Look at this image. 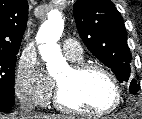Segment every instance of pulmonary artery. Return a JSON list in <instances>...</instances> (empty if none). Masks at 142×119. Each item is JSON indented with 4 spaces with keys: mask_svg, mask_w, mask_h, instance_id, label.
Returning a JSON list of instances; mask_svg holds the SVG:
<instances>
[{
    "mask_svg": "<svg viewBox=\"0 0 142 119\" xmlns=\"http://www.w3.org/2000/svg\"><path fill=\"white\" fill-rule=\"evenodd\" d=\"M62 47L65 55L70 60H76L81 58L82 55V49L79 45V43L73 39H65L62 42Z\"/></svg>",
    "mask_w": 142,
    "mask_h": 119,
    "instance_id": "e3ab8cb5",
    "label": "pulmonary artery"
}]
</instances>
